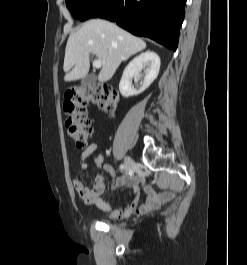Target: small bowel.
<instances>
[{"instance_id": "obj_1", "label": "small bowel", "mask_w": 247, "mask_h": 265, "mask_svg": "<svg viewBox=\"0 0 247 265\" xmlns=\"http://www.w3.org/2000/svg\"><path fill=\"white\" fill-rule=\"evenodd\" d=\"M97 150V144H90L83 150L80 157L81 168L86 169L88 167V159L93 156L95 164L112 177V186L117 187L123 184L132 186L134 188L133 197L131 203L125 208L112 207L102 197L105 189L104 178L101 175H96L91 188L86 187L79 179L73 181L75 191L85 204L103 210L110 219L115 220L127 218L132 214L142 215L157 210L162 204L174 197L173 192L156 193L153 189L146 188L145 198L140 203L141 190L138 185L133 180L117 178L112 167L104 162L103 154L97 152Z\"/></svg>"}]
</instances>
